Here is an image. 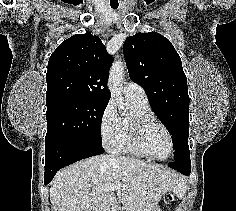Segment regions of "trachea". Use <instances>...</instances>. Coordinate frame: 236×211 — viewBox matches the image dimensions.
<instances>
[{"label":"trachea","instance_id":"trachea-1","mask_svg":"<svg viewBox=\"0 0 236 211\" xmlns=\"http://www.w3.org/2000/svg\"><path fill=\"white\" fill-rule=\"evenodd\" d=\"M111 8L116 9L117 7H115V6H111Z\"/></svg>","mask_w":236,"mask_h":211}]
</instances>
